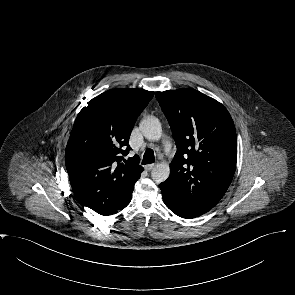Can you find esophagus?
<instances>
[{"mask_svg":"<svg viewBox=\"0 0 295 295\" xmlns=\"http://www.w3.org/2000/svg\"><path fill=\"white\" fill-rule=\"evenodd\" d=\"M156 164L153 163V164H148V165H145L144 168L145 170L147 171H152L154 168H155Z\"/></svg>","mask_w":295,"mask_h":295,"instance_id":"1","label":"esophagus"}]
</instances>
